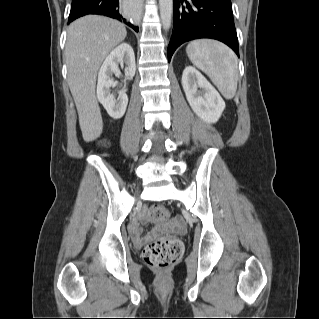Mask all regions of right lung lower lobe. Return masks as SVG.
Returning <instances> with one entry per match:
<instances>
[{
	"mask_svg": "<svg viewBox=\"0 0 319 319\" xmlns=\"http://www.w3.org/2000/svg\"><path fill=\"white\" fill-rule=\"evenodd\" d=\"M88 14L104 15L117 19L138 31V27L133 26L120 15L119 0H72L68 24Z\"/></svg>",
	"mask_w": 319,
	"mask_h": 319,
	"instance_id": "98d812e1",
	"label": "right lung lower lobe"
}]
</instances>
